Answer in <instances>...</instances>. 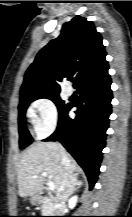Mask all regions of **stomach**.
<instances>
[{
	"label": "stomach",
	"mask_w": 132,
	"mask_h": 217,
	"mask_svg": "<svg viewBox=\"0 0 132 217\" xmlns=\"http://www.w3.org/2000/svg\"><path fill=\"white\" fill-rule=\"evenodd\" d=\"M40 200H41V198L38 194H35V195L31 196V198H30V202L32 204H37L40 202Z\"/></svg>",
	"instance_id": "0dacf381"
}]
</instances>
